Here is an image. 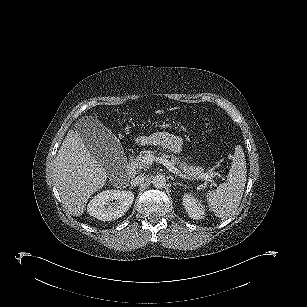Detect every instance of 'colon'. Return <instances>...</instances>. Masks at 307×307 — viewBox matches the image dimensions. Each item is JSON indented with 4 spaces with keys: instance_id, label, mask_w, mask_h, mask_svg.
I'll return each mask as SVG.
<instances>
[{
    "instance_id": "5ec220e1",
    "label": "colon",
    "mask_w": 307,
    "mask_h": 307,
    "mask_svg": "<svg viewBox=\"0 0 307 307\" xmlns=\"http://www.w3.org/2000/svg\"><path fill=\"white\" fill-rule=\"evenodd\" d=\"M204 123H205V125L207 126V128H208L209 130H212V129H213V126H212V124H211V122H210L209 119H204Z\"/></svg>"
}]
</instances>
